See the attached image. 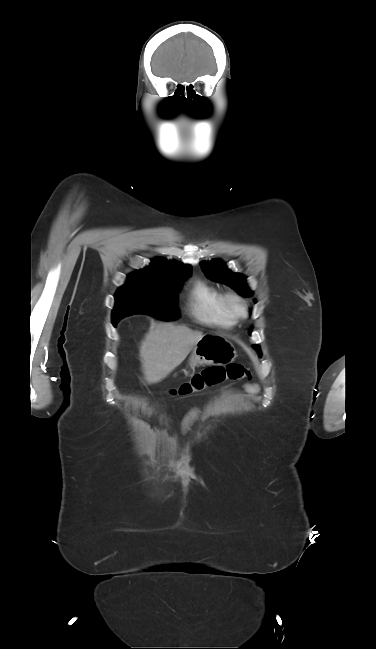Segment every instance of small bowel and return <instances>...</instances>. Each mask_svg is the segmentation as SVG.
<instances>
[{
    "instance_id": "1",
    "label": "small bowel",
    "mask_w": 376,
    "mask_h": 649,
    "mask_svg": "<svg viewBox=\"0 0 376 649\" xmlns=\"http://www.w3.org/2000/svg\"><path fill=\"white\" fill-rule=\"evenodd\" d=\"M245 388L247 392L253 395L258 392V387L255 384H247ZM198 416H199V409L196 407L191 408L185 414L181 424V430L183 433H186L190 430L191 426L197 420Z\"/></svg>"
}]
</instances>
